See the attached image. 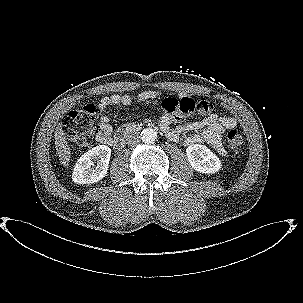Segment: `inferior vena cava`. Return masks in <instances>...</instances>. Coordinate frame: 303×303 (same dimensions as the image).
Segmentation results:
<instances>
[{"instance_id": "inferior-vena-cava-1", "label": "inferior vena cava", "mask_w": 303, "mask_h": 303, "mask_svg": "<svg viewBox=\"0 0 303 303\" xmlns=\"http://www.w3.org/2000/svg\"><path fill=\"white\" fill-rule=\"evenodd\" d=\"M140 142V136L137 132H131L126 136V144L131 147H134L136 144Z\"/></svg>"}]
</instances>
